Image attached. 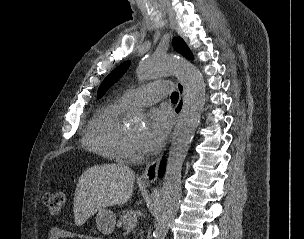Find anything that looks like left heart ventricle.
<instances>
[{
	"label": "left heart ventricle",
	"instance_id": "1",
	"mask_svg": "<svg viewBox=\"0 0 304 239\" xmlns=\"http://www.w3.org/2000/svg\"><path fill=\"white\" fill-rule=\"evenodd\" d=\"M127 132L130 135V137L133 139L135 145L137 146V139L140 136V134L142 133V129H132Z\"/></svg>",
	"mask_w": 304,
	"mask_h": 239
}]
</instances>
